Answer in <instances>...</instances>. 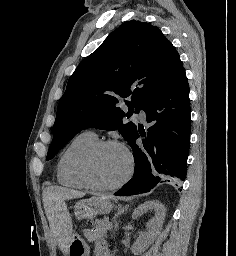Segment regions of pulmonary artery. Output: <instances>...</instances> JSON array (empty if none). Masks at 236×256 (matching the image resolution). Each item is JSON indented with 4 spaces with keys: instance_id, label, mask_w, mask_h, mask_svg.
Here are the masks:
<instances>
[{
    "instance_id": "1",
    "label": "pulmonary artery",
    "mask_w": 236,
    "mask_h": 256,
    "mask_svg": "<svg viewBox=\"0 0 236 256\" xmlns=\"http://www.w3.org/2000/svg\"><path fill=\"white\" fill-rule=\"evenodd\" d=\"M139 118H140L142 121H145V120H146V112H145L143 109H141L140 112H139ZM88 132H89L90 134L96 136V134H95L93 131H88Z\"/></svg>"
}]
</instances>
